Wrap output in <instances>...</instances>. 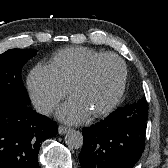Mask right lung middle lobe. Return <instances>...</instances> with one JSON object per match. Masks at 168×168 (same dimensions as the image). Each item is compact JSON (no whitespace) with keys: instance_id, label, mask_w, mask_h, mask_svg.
Instances as JSON below:
<instances>
[{"instance_id":"right-lung-middle-lobe-1","label":"right lung middle lobe","mask_w":168,"mask_h":168,"mask_svg":"<svg viewBox=\"0 0 168 168\" xmlns=\"http://www.w3.org/2000/svg\"><path fill=\"white\" fill-rule=\"evenodd\" d=\"M36 52L34 49H10L0 55V99L30 104L21 69Z\"/></svg>"}]
</instances>
